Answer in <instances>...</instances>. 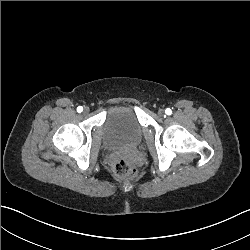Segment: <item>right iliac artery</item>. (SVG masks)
Wrapping results in <instances>:
<instances>
[{
	"label": "right iliac artery",
	"mask_w": 250,
	"mask_h": 250,
	"mask_svg": "<svg viewBox=\"0 0 250 250\" xmlns=\"http://www.w3.org/2000/svg\"><path fill=\"white\" fill-rule=\"evenodd\" d=\"M82 111H83V107L82 106L77 107V112L78 113H81Z\"/></svg>",
	"instance_id": "right-iliac-artery-1"
}]
</instances>
